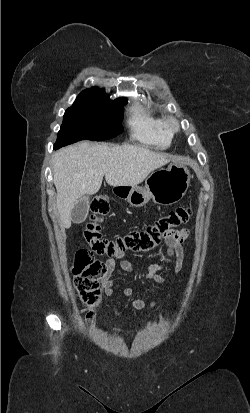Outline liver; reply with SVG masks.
I'll use <instances>...</instances> for the list:
<instances>
[{"mask_svg":"<svg viewBox=\"0 0 250 413\" xmlns=\"http://www.w3.org/2000/svg\"><path fill=\"white\" fill-rule=\"evenodd\" d=\"M174 156L147 147L80 142L53 155V182L62 228L71 226V212L80 198L97 193L103 177L110 186L138 185Z\"/></svg>","mask_w":250,"mask_h":413,"instance_id":"1","label":"liver"}]
</instances>
